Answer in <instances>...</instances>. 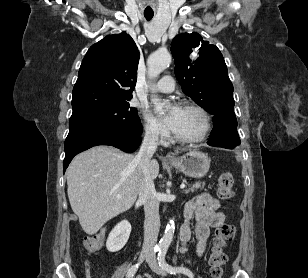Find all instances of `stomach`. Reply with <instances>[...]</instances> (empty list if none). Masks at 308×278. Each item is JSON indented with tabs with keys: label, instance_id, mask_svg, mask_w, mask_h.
<instances>
[{
	"label": "stomach",
	"instance_id": "obj_1",
	"mask_svg": "<svg viewBox=\"0 0 308 278\" xmlns=\"http://www.w3.org/2000/svg\"><path fill=\"white\" fill-rule=\"evenodd\" d=\"M169 165L183 172L186 176L201 178L204 177L209 170L210 158L203 152L190 150L183 156L169 162Z\"/></svg>",
	"mask_w": 308,
	"mask_h": 278
}]
</instances>
